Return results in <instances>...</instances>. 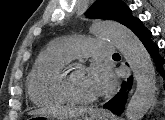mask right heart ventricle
<instances>
[{"label": "right heart ventricle", "mask_w": 165, "mask_h": 120, "mask_svg": "<svg viewBox=\"0 0 165 120\" xmlns=\"http://www.w3.org/2000/svg\"><path fill=\"white\" fill-rule=\"evenodd\" d=\"M56 47L47 48L38 57L27 81L30 99L37 105H58L67 102L59 90V78L69 63Z\"/></svg>", "instance_id": "right-heart-ventricle-1"}]
</instances>
